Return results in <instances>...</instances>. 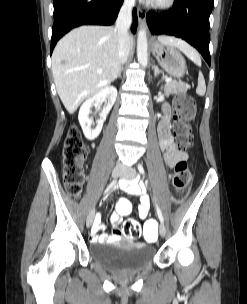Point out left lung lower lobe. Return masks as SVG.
I'll return each mask as SVG.
<instances>
[{
  "instance_id": "1",
  "label": "left lung lower lobe",
  "mask_w": 247,
  "mask_h": 304,
  "mask_svg": "<svg viewBox=\"0 0 247 304\" xmlns=\"http://www.w3.org/2000/svg\"><path fill=\"white\" fill-rule=\"evenodd\" d=\"M214 0H175L165 13L146 16L152 34L174 35L194 46L210 65L209 16Z\"/></svg>"
}]
</instances>
